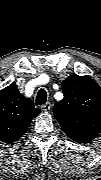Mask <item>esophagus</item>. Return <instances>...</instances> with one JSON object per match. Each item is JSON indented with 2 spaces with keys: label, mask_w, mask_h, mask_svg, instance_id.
I'll return each mask as SVG.
<instances>
[{
  "label": "esophagus",
  "mask_w": 101,
  "mask_h": 180,
  "mask_svg": "<svg viewBox=\"0 0 101 180\" xmlns=\"http://www.w3.org/2000/svg\"><path fill=\"white\" fill-rule=\"evenodd\" d=\"M51 106H52L51 103L47 102V103H45L44 105L41 106V110L43 112H47V111H49L51 109Z\"/></svg>",
  "instance_id": "1"
}]
</instances>
